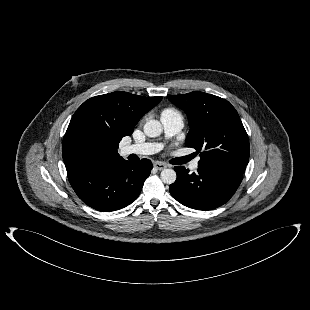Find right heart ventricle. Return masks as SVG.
Listing matches in <instances>:
<instances>
[{"mask_svg":"<svg viewBox=\"0 0 310 310\" xmlns=\"http://www.w3.org/2000/svg\"><path fill=\"white\" fill-rule=\"evenodd\" d=\"M163 113H177V112L173 109L168 108V109L163 110L162 114Z\"/></svg>","mask_w":310,"mask_h":310,"instance_id":"1","label":"right heart ventricle"}]
</instances>
